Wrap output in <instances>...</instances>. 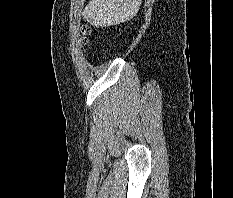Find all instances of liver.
Wrapping results in <instances>:
<instances>
[{
  "instance_id": "6515ba94",
  "label": "liver",
  "mask_w": 233,
  "mask_h": 198,
  "mask_svg": "<svg viewBox=\"0 0 233 198\" xmlns=\"http://www.w3.org/2000/svg\"><path fill=\"white\" fill-rule=\"evenodd\" d=\"M141 3L142 0H90L83 17L96 28L110 27L132 19Z\"/></svg>"
}]
</instances>
